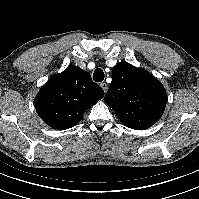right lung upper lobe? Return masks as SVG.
I'll list each match as a JSON object with an SVG mask.
<instances>
[{"instance_id":"cb5924a9","label":"right lung upper lobe","mask_w":199,"mask_h":199,"mask_svg":"<svg viewBox=\"0 0 199 199\" xmlns=\"http://www.w3.org/2000/svg\"><path fill=\"white\" fill-rule=\"evenodd\" d=\"M103 96V89L87 71L71 65L48 80L36 96L35 108L50 127L65 130L75 126Z\"/></svg>"}]
</instances>
